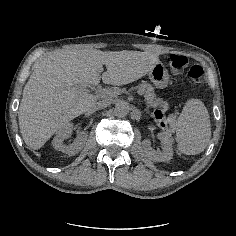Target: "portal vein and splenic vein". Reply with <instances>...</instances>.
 Masks as SVG:
<instances>
[{
  "mask_svg": "<svg viewBox=\"0 0 236 236\" xmlns=\"http://www.w3.org/2000/svg\"><path fill=\"white\" fill-rule=\"evenodd\" d=\"M78 86L81 90L86 91V88H87L86 84H79ZM94 89L96 90L97 93L101 94L102 97L105 96V91H103L102 89H96V88Z\"/></svg>",
  "mask_w": 236,
  "mask_h": 236,
  "instance_id": "obj_1",
  "label": "portal vein and splenic vein"
}]
</instances>
